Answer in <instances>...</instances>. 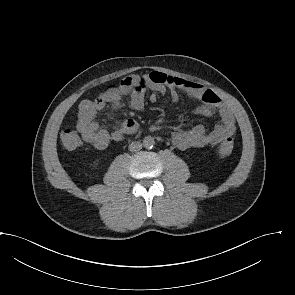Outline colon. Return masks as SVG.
Masks as SVG:
<instances>
[{"mask_svg": "<svg viewBox=\"0 0 295 295\" xmlns=\"http://www.w3.org/2000/svg\"><path fill=\"white\" fill-rule=\"evenodd\" d=\"M61 142L63 146L68 150L76 149L81 145V138L77 130L73 128H64L60 134ZM234 147V141L232 137L225 139L218 148V153L221 156H228L231 154Z\"/></svg>", "mask_w": 295, "mask_h": 295, "instance_id": "obj_1", "label": "colon"}]
</instances>
